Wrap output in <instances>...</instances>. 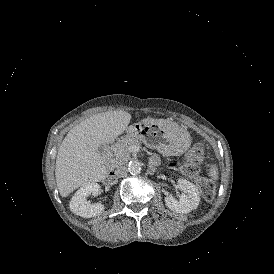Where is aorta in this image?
<instances>
[{"instance_id": "obj_1", "label": "aorta", "mask_w": 274, "mask_h": 274, "mask_svg": "<svg viewBox=\"0 0 274 274\" xmlns=\"http://www.w3.org/2000/svg\"><path fill=\"white\" fill-rule=\"evenodd\" d=\"M128 170L132 175L138 174L141 171V163L138 160L129 162Z\"/></svg>"}]
</instances>
